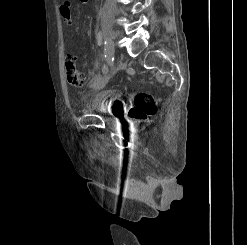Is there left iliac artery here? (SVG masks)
Masks as SVG:
<instances>
[{
  "label": "left iliac artery",
  "mask_w": 247,
  "mask_h": 245,
  "mask_svg": "<svg viewBox=\"0 0 247 245\" xmlns=\"http://www.w3.org/2000/svg\"><path fill=\"white\" fill-rule=\"evenodd\" d=\"M111 34V33H109ZM105 39V38H104ZM104 58L106 59L107 63L109 65H113L114 62V53L115 48L114 45H116V40H114V37H106L104 40Z\"/></svg>",
  "instance_id": "44dca946"
}]
</instances>
